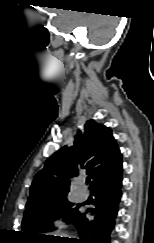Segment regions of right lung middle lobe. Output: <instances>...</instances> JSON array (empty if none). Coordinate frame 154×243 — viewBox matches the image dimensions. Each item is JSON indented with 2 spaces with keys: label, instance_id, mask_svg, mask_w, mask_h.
I'll use <instances>...</instances> for the list:
<instances>
[{
  "label": "right lung middle lobe",
  "instance_id": "1",
  "mask_svg": "<svg viewBox=\"0 0 154 243\" xmlns=\"http://www.w3.org/2000/svg\"><path fill=\"white\" fill-rule=\"evenodd\" d=\"M78 209L79 206L69 202L66 197L27 208L22 221L24 238L35 239L44 237L39 234L54 230V220L63 218L66 221L73 217L78 212Z\"/></svg>",
  "mask_w": 154,
  "mask_h": 243
}]
</instances>
